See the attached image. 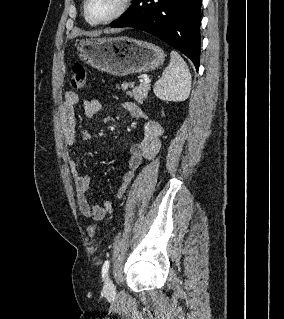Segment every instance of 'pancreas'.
<instances>
[{
  "instance_id": "cf45deb5",
  "label": "pancreas",
  "mask_w": 284,
  "mask_h": 319,
  "mask_svg": "<svg viewBox=\"0 0 284 319\" xmlns=\"http://www.w3.org/2000/svg\"><path fill=\"white\" fill-rule=\"evenodd\" d=\"M122 89L126 90L128 87L133 88L132 92H129L128 95L134 97V99L142 104L143 101L147 98L148 91L150 90V84L142 81L139 86L134 87V83H123Z\"/></svg>"
}]
</instances>
